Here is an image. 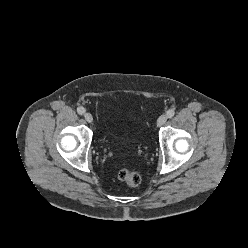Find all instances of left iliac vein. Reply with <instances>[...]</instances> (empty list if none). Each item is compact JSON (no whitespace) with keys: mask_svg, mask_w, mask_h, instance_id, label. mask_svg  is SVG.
<instances>
[{"mask_svg":"<svg viewBox=\"0 0 248 248\" xmlns=\"http://www.w3.org/2000/svg\"><path fill=\"white\" fill-rule=\"evenodd\" d=\"M167 121V116L166 115H161L158 120H157V126L161 127L163 126Z\"/></svg>","mask_w":248,"mask_h":248,"instance_id":"obj_1","label":"left iliac vein"}]
</instances>
